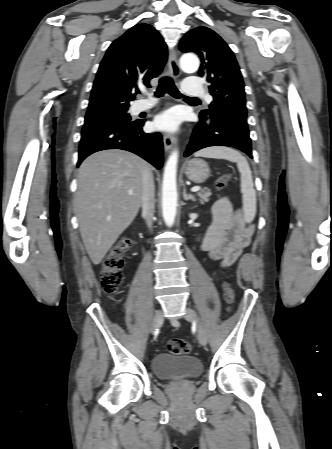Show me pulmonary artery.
Returning <instances> with one entry per match:
<instances>
[{
  "label": "pulmonary artery",
  "mask_w": 332,
  "mask_h": 449,
  "mask_svg": "<svg viewBox=\"0 0 332 449\" xmlns=\"http://www.w3.org/2000/svg\"><path fill=\"white\" fill-rule=\"evenodd\" d=\"M182 90L184 93L194 96H202L204 97L208 102L212 100L211 96L205 93L203 89H201L197 84L195 78H189L185 80L182 84ZM155 100L150 101H139L136 104L135 110L140 112L144 111L148 108H151L155 105Z\"/></svg>",
  "instance_id": "pulmonary-artery-1"
}]
</instances>
